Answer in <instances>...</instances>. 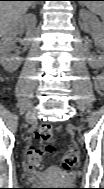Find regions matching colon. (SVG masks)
Segmentation results:
<instances>
[{
	"label": "colon",
	"mask_w": 104,
	"mask_h": 189,
	"mask_svg": "<svg viewBox=\"0 0 104 189\" xmlns=\"http://www.w3.org/2000/svg\"><path fill=\"white\" fill-rule=\"evenodd\" d=\"M35 145L28 148L27 164L30 170L37 171L42 168L45 152L54 149L53 129L49 124L40 125L34 133ZM78 151L71 147L65 151L62 157V168L64 171L71 170L78 162Z\"/></svg>",
	"instance_id": "1"
}]
</instances>
